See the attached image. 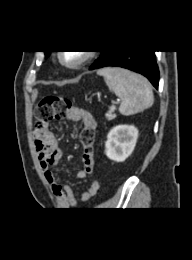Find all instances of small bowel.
I'll return each instance as SVG.
<instances>
[{"label": "small bowel", "instance_id": "1", "mask_svg": "<svg viewBox=\"0 0 192 260\" xmlns=\"http://www.w3.org/2000/svg\"><path fill=\"white\" fill-rule=\"evenodd\" d=\"M69 119L73 121H82L84 126L89 125L94 130L96 128V121L89 112L71 116ZM33 137L41 169L46 181L52 189L58 205L61 208H75L77 206V200L71 187L68 184L59 181L51 169L53 166L57 165L62 158V151L58 146L54 132L46 123L37 124L33 131ZM83 163V168L77 173V178L79 179H86L93 174L95 165L94 154L84 153ZM98 189L99 182L93 180L89 184L87 190L81 193V201L88 202L96 195Z\"/></svg>", "mask_w": 192, "mask_h": 260}]
</instances>
